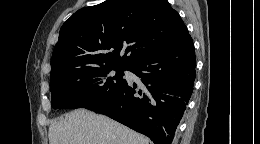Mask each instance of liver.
Wrapping results in <instances>:
<instances>
[{
	"instance_id": "obj_1",
	"label": "liver",
	"mask_w": 260,
	"mask_h": 144,
	"mask_svg": "<svg viewBox=\"0 0 260 144\" xmlns=\"http://www.w3.org/2000/svg\"><path fill=\"white\" fill-rule=\"evenodd\" d=\"M49 144H149L128 127L85 109L65 114L49 127Z\"/></svg>"
}]
</instances>
